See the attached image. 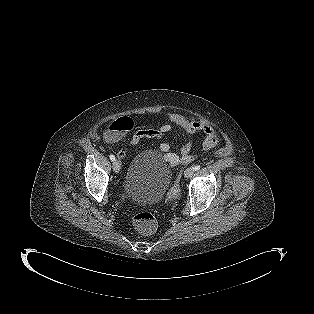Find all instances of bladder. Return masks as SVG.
Segmentation results:
<instances>
[{"label":"bladder","instance_id":"31cf9c89","mask_svg":"<svg viewBox=\"0 0 314 314\" xmlns=\"http://www.w3.org/2000/svg\"><path fill=\"white\" fill-rule=\"evenodd\" d=\"M173 168L157 152L138 153L128 169L124 193L134 204L159 202L172 182Z\"/></svg>","mask_w":314,"mask_h":314}]
</instances>
